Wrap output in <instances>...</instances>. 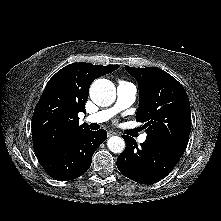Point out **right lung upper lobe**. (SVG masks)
Returning <instances> with one entry per match:
<instances>
[{"label": "right lung upper lobe", "instance_id": "obj_1", "mask_svg": "<svg viewBox=\"0 0 221 221\" xmlns=\"http://www.w3.org/2000/svg\"><path fill=\"white\" fill-rule=\"evenodd\" d=\"M118 68V65L72 63L49 80L32 117L33 148L37 157L56 150L88 129L85 124L79 125L78 113L86 112L89 87L96 78Z\"/></svg>", "mask_w": 221, "mask_h": 221}]
</instances>
